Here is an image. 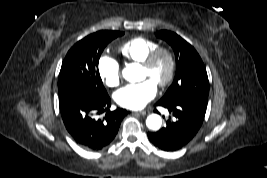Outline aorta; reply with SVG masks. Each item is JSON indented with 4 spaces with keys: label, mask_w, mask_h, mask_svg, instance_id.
<instances>
[{
    "label": "aorta",
    "mask_w": 267,
    "mask_h": 178,
    "mask_svg": "<svg viewBox=\"0 0 267 178\" xmlns=\"http://www.w3.org/2000/svg\"><path fill=\"white\" fill-rule=\"evenodd\" d=\"M123 77L129 82L138 80V70L134 65H129L123 70ZM146 125L151 130H159L162 125V119L157 114H151L146 119Z\"/></svg>",
    "instance_id": "1"
}]
</instances>
